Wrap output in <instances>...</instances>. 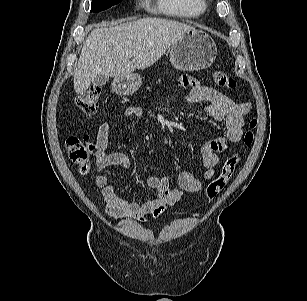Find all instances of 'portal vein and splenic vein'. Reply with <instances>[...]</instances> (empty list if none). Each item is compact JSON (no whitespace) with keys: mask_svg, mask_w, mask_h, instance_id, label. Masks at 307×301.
I'll return each mask as SVG.
<instances>
[{"mask_svg":"<svg viewBox=\"0 0 307 301\" xmlns=\"http://www.w3.org/2000/svg\"><path fill=\"white\" fill-rule=\"evenodd\" d=\"M128 55H129L130 57H133V56H136L137 53H136V52H129Z\"/></svg>","mask_w":307,"mask_h":301,"instance_id":"18ae733b","label":"portal vein and splenic vein"}]
</instances>
